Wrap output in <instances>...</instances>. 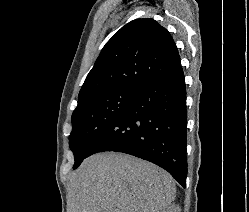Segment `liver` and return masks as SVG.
<instances>
[{"label":"liver","mask_w":249,"mask_h":212,"mask_svg":"<svg viewBox=\"0 0 249 212\" xmlns=\"http://www.w3.org/2000/svg\"><path fill=\"white\" fill-rule=\"evenodd\" d=\"M174 180L155 164L128 154H94L70 178L68 212H165Z\"/></svg>","instance_id":"1"}]
</instances>
